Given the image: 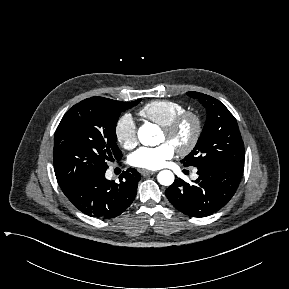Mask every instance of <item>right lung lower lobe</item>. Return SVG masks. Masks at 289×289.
<instances>
[{
	"label": "right lung lower lobe",
	"mask_w": 289,
	"mask_h": 289,
	"mask_svg": "<svg viewBox=\"0 0 289 289\" xmlns=\"http://www.w3.org/2000/svg\"><path fill=\"white\" fill-rule=\"evenodd\" d=\"M119 178V183H115L101 172L62 191L82 213L95 218H114L131 205L141 176L137 170L129 168Z\"/></svg>",
	"instance_id": "right-lung-lower-lobe-1"
}]
</instances>
